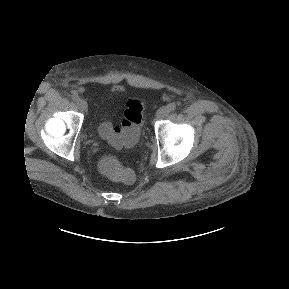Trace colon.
I'll use <instances>...</instances> for the list:
<instances>
[{"label":"colon","instance_id":"obj_1","mask_svg":"<svg viewBox=\"0 0 289 289\" xmlns=\"http://www.w3.org/2000/svg\"><path fill=\"white\" fill-rule=\"evenodd\" d=\"M144 103L139 99H131L126 103L123 120L118 127L104 124L101 127V134L115 145L127 147L135 144V138L143 120ZM130 141V142H129ZM99 169L103 175L113 180H120L130 183L133 180V173L124 169L117 157L105 155L99 161Z\"/></svg>","mask_w":289,"mask_h":289}]
</instances>
